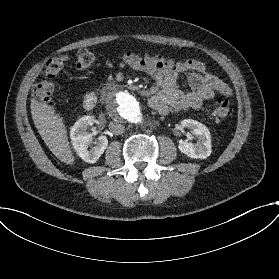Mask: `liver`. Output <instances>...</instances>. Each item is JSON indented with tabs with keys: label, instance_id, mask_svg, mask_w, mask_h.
<instances>
[{
	"label": "liver",
	"instance_id": "1",
	"mask_svg": "<svg viewBox=\"0 0 279 279\" xmlns=\"http://www.w3.org/2000/svg\"><path fill=\"white\" fill-rule=\"evenodd\" d=\"M31 113L34 124L48 149L59 161L74 165L75 157L70 146L67 125L61 113L45 101L34 97L31 99Z\"/></svg>",
	"mask_w": 279,
	"mask_h": 279
}]
</instances>
